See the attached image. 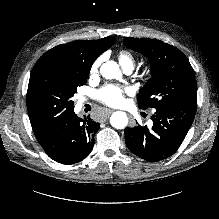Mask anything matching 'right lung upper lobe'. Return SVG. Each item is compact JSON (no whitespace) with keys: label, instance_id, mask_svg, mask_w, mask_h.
<instances>
[{"label":"right lung upper lobe","instance_id":"right-lung-upper-lobe-1","mask_svg":"<svg viewBox=\"0 0 219 219\" xmlns=\"http://www.w3.org/2000/svg\"><path fill=\"white\" fill-rule=\"evenodd\" d=\"M115 42V38L105 37L99 40H80L61 44L47 51L36 64L52 61L69 71L86 74L90 72L94 61Z\"/></svg>","mask_w":219,"mask_h":219}]
</instances>
